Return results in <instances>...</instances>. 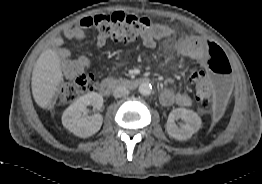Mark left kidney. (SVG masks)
Here are the masks:
<instances>
[{
    "label": "left kidney",
    "instance_id": "1",
    "mask_svg": "<svg viewBox=\"0 0 262 184\" xmlns=\"http://www.w3.org/2000/svg\"><path fill=\"white\" fill-rule=\"evenodd\" d=\"M183 119L186 123L178 127L175 123L177 119ZM201 127V118L192 110L177 108L170 112L166 124L169 136L177 140H187L196 133Z\"/></svg>",
    "mask_w": 262,
    "mask_h": 184
}]
</instances>
